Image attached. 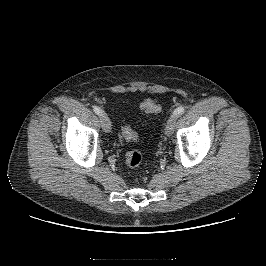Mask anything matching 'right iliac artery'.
Wrapping results in <instances>:
<instances>
[{"label":"right iliac artery","mask_w":266,"mask_h":266,"mask_svg":"<svg viewBox=\"0 0 266 266\" xmlns=\"http://www.w3.org/2000/svg\"><path fill=\"white\" fill-rule=\"evenodd\" d=\"M93 111L97 114V115H102L103 111L97 107V106H94L93 107Z\"/></svg>","instance_id":"1"}]
</instances>
